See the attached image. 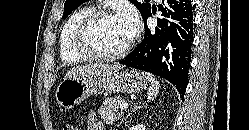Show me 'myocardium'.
<instances>
[{"label": "myocardium", "instance_id": "obj_1", "mask_svg": "<svg viewBox=\"0 0 249 130\" xmlns=\"http://www.w3.org/2000/svg\"><path fill=\"white\" fill-rule=\"evenodd\" d=\"M117 13L111 9H95L82 19L79 23L74 37V47L76 51L85 58L98 61H116L124 58L130 51L134 38H131L128 43L116 53H102L94 49L89 43V31L91 27L100 19L112 17Z\"/></svg>", "mask_w": 249, "mask_h": 130}]
</instances>
